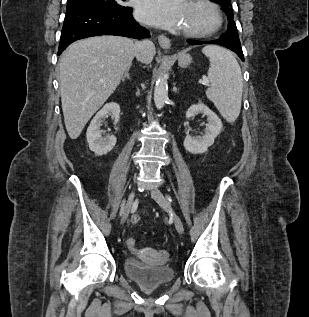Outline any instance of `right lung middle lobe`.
<instances>
[{
    "label": "right lung middle lobe",
    "instance_id": "1",
    "mask_svg": "<svg viewBox=\"0 0 309 317\" xmlns=\"http://www.w3.org/2000/svg\"><path fill=\"white\" fill-rule=\"evenodd\" d=\"M123 1L125 0H67V3H80L115 10H123L128 8V6L123 3Z\"/></svg>",
    "mask_w": 309,
    "mask_h": 317
}]
</instances>
